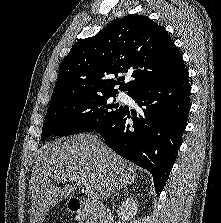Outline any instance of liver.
Masks as SVG:
<instances>
[{
  "label": "liver",
  "mask_w": 221,
  "mask_h": 223,
  "mask_svg": "<svg viewBox=\"0 0 221 223\" xmlns=\"http://www.w3.org/2000/svg\"><path fill=\"white\" fill-rule=\"evenodd\" d=\"M76 176L103 200L138 178L133 165L108 148L96 135L78 134L45 145L32 171L29 191L32 198L31 223H43L49 209L68 198L76 186H52V180L66 181ZM69 180V179H68Z\"/></svg>",
  "instance_id": "liver-1"
}]
</instances>
